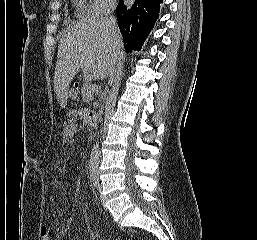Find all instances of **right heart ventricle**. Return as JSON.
<instances>
[{
    "label": "right heart ventricle",
    "instance_id": "e07e8e85",
    "mask_svg": "<svg viewBox=\"0 0 257 240\" xmlns=\"http://www.w3.org/2000/svg\"><path fill=\"white\" fill-rule=\"evenodd\" d=\"M77 6H78L79 11H80L81 13L84 14V13L88 12V9H89V8L86 6L84 0H77Z\"/></svg>",
    "mask_w": 257,
    "mask_h": 240
}]
</instances>
